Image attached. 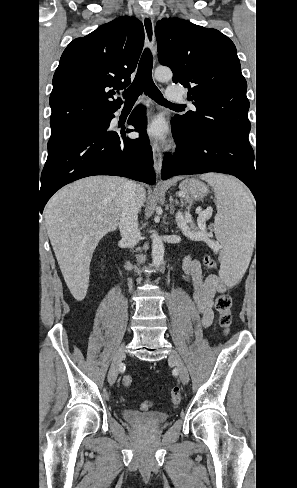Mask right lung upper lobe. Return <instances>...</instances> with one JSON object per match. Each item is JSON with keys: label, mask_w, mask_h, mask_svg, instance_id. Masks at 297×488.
Here are the masks:
<instances>
[{"label": "right lung upper lobe", "mask_w": 297, "mask_h": 488, "mask_svg": "<svg viewBox=\"0 0 297 488\" xmlns=\"http://www.w3.org/2000/svg\"><path fill=\"white\" fill-rule=\"evenodd\" d=\"M143 43L142 23L127 16L73 40L53 77L51 133L107 118L120 108L121 99L112 95L131 83Z\"/></svg>", "instance_id": "obj_1"}]
</instances>
